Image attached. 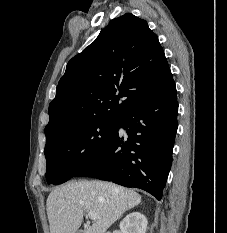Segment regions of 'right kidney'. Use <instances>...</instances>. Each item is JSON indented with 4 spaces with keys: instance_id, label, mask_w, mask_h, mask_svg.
<instances>
[{
    "instance_id": "right-kidney-1",
    "label": "right kidney",
    "mask_w": 227,
    "mask_h": 233,
    "mask_svg": "<svg viewBox=\"0 0 227 233\" xmlns=\"http://www.w3.org/2000/svg\"><path fill=\"white\" fill-rule=\"evenodd\" d=\"M147 224L143 214L132 212L120 222V229L122 233H146Z\"/></svg>"
}]
</instances>
